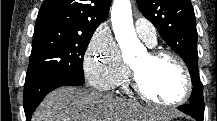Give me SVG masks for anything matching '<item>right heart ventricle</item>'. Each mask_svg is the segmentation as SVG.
I'll list each match as a JSON object with an SVG mask.
<instances>
[{
    "mask_svg": "<svg viewBox=\"0 0 217 121\" xmlns=\"http://www.w3.org/2000/svg\"><path fill=\"white\" fill-rule=\"evenodd\" d=\"M129 74L126 75V77L120 82L119 85H122V88L125 90V91H128L129 89Z\"/></svg>",
    "mask_w": 217,
    "mask_h": 121,
    "instance_id": "obj_1",
    "label": "right heart ventricle"
}]
</instances>
